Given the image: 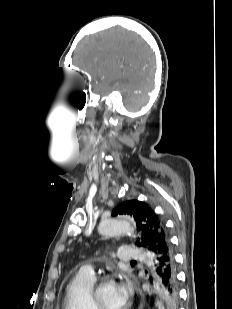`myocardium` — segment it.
<instances>
[{"label":"myocardium","mask_w":232,"mask_h":309,"mask_svg":"<svg viewBox=\"0 0 232 309\" xmlns=\"http://www.w3.org/2000/svg\"><path fill=\"white\" fill-rule=\"evenodd\" d=\"M112 282H115L114 275H102L96 281H94V284L90 290V300L93 309H104L98 299V290L101 286ZM125 309H128V307L126 306Z\"/></svg>","instance_id":"myocardium-1"}]
</instances>
